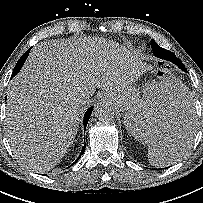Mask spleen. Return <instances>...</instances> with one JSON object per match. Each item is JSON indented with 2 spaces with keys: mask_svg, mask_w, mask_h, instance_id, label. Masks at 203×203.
I'll return each mask as SVG.
<instances>
[{
  "mask_svg": "<svg viewBox=\"0 0 203 203\" xmlns=\"http://www.w3.org/2000/svg\"><path fill=\"white\" fill-rule=\"evenodd\" d=\"M167 112H173L178 118L184 119L189 132L182 140L168 139L157 144V139L152 138V134L158 127L162 115ZM157 115L158 124L155 126L152 118ZM129 129L138 141L148 144V159L151 165L165 167L177 162L188 152L192 143L194 106L190 91L176 80L164 81L160 88L150 91L145 100H141L131 115ZM135 129L142 132L135 133ZM145 136L149 140L145 141Z\"/></svg>",
  "mask_w": 203,
  "mask_h": 203,
  "instance_id": "obj_1",
  "label": "spleen"
}]
</instances>
